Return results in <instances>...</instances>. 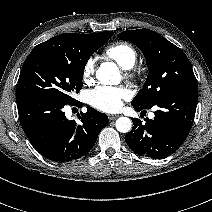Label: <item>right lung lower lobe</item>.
<instances>
[{"label": "right lung lower lobe", "instance_id": "98d812e1", "mask_svg": "<svg viewBox=\"0 0 212 212\" xmlns=\"http://www.w3.org/2000/svg\"><path fill=\"white\" fill-rule=\"evenodd\" d=\"M22 128L33 147L46 159L69 162L87 154L94 146L108 117L91 107L81 113V124L65 117L66 104L58 98L30 94L16 96Z\"/></svg>", "mask_w": 212, "mask_h": 212}]
</instances>
